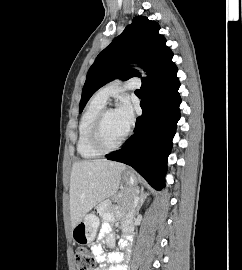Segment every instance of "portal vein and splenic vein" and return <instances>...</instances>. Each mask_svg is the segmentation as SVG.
Listing matches in <instances>:
<instances>
[{
	"instance_id": "18ae733b",
	"label": "portal vein and splenic vein",
	"mask_w": 242,
	"mask_h": 270,
	"mask_svg": "<svg viewBox=\"0 0 242 270\" xmlns=\"http://www.w3.org/2000/svg\"><path fill=\"white\" fill-rule=\"evenodd\" d=\"M137 201H138V198H137V197H135V199H134V207L136 206Z\"/></svg>"
}]
</instances>
